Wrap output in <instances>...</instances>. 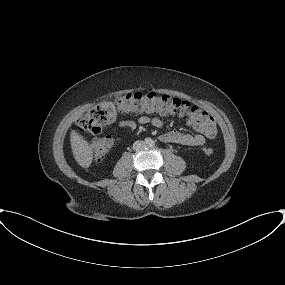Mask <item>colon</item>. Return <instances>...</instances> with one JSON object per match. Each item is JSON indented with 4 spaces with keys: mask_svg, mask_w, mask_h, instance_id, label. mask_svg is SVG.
<instances>
[{
    "mask_svg": "<svg viewBox=\"0 0 285 285\" xmlns=\"http://www.w3.org/2000/svg\"><path fill=\"white\" fill-rule=\"evenodd\" d=\"M117 112L141 113L152 112L159 114H176L186 117L194 127L211 139H216L218 130L214 118L189 102L171 97L158 95L153 92H130L118 96L114 103L106 102L97 105L82 115L76 124V130L85 134H98L103 127L114 122ZM112 138L105 137L92 145L96 160H103L112 147ZM204 154L211 155L213 149L205 147Z\"/></svg>",
    "mask_w": 285,
    "mask_h": 285,
    "instance_id": "5ec220e1",
    "label": "colon"
}]
</instances>
